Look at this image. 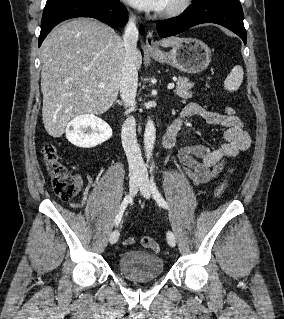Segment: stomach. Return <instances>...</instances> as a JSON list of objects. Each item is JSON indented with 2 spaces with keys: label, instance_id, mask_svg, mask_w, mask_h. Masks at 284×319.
<instances>
[{
  "label": "stomach",
  "instance_id": "1",
  "mask_svg": "<svg viewBox=\"0 0 284 319\" xmlns=\"http://www.w3.org/2000/svg\"><path fill=\"white\" fill-rule=\"evenodd\" d=\"M159 63L169 64L181 72L196 74L211 62V50L196 38H181L169 52L150 53Z\"/></svg>",
  "mask_w": 284,
  "mask_h": 319
}]
</instances>
